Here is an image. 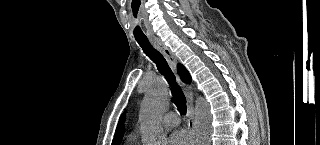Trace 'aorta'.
Returning a JSON list of instances; mask_svg holds the SVG:
<instances>
[{"label": "aorta", "instance_id": "762f6f07", "mask_svg": "<svg viewBox=\"0 0 320 145\" xmlns=\"http://www.w3.org/2000/svg\"><path fill=\"white\" fill-rule=\"evenodd\" d=\"M168 103V89L161 80L150 84L141 104L140 122L141 134L145 145H163L166 139L159 119ZM211 114L208 104L203 98L196 100L195 129L198 145L211 144Z\"/></svg>", "mask_w": 320, "mask_h": 145}]
</instances>
